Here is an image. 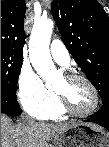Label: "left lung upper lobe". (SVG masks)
<instances>
[{"instance_id":"obj_1","label":"left lung upper lobe","mask_w":109,"mask_h":147,"mask_svg":"<svg viewBox=\"0 0 109 147\" xmlns=\"http://www.w3.org/2000/svg\"><path fill=\"white\" fill-rule=\"evenodd\" d=\"M53 18L64 44L98 90L109 99V17L96 0H53Z\"/></svg>"}]
</instances>
